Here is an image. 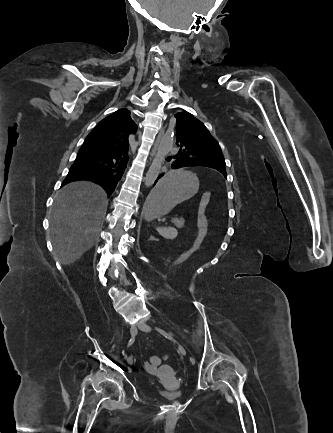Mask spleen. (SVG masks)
I'll return each instance as SVG.
<instances>
[{
    "instance_id": "1",
    "label": "spleen",
    "mask_w": 333,
    "mask_h": 433,
    "mask_svg": "<svg viewBox=\"0 0 333 433\" xmlns=\"http://www.w3.org/2000/svg\"><path fill=\"white\" fill-rule=\"evenodd\" d=\"M159 183V182H158ZM196 192H194L195 194ZM152 221V220H147ZM158 233L166 239H174L177 236V232L173 231L170 227H156Z\"/></svg>"
}]
</instances>
